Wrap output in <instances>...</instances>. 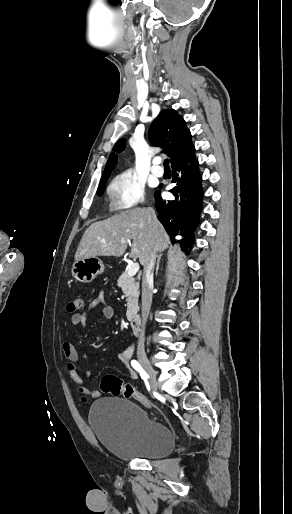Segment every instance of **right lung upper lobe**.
<instances>
[{
    "label": "right lung upper lobe",
    "instance_id": "cb5924a9",
    "mask_svg": "<svg viewBox=\"0 0 292 514\" xmlns=\"http://www.w3.org/2000/svg\"><path fill=\"white\" fill-rule=\"evenodd\" d=\"M149 139L154 146L163 148L162 153L170 157L171 166L195 153L191 133L185 120L173 109L162 110L149 128ZM125 148V139H120L113 151L120 153ZM117 156L111 154L101 181L108 180L117 164Z\"/></svg>",
    "mask_w": 292,
    "mask_h": 514
}]
</instances>
